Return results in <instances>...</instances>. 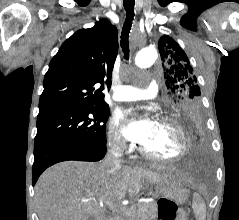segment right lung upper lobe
Returning <instances> with one entry per match:
<instances>
[{
    "instance_id": "obj_1",
    "label": "right lung upper lobe",
    "mask_w": 239,
    "mask_h": 220,
    "mask_svg": "<svg viewBox=\"0 0 239 220\" xmlns=\"http://www.w3.org/2000/svg\"><path fill=\"white\" fill-rule=\"evenodd\" d=\"M117 36L116 27L102 19L67 39L45 74L39 110L107 105L103 90L111 85Z\"/></svg>"
}]
</instances>
